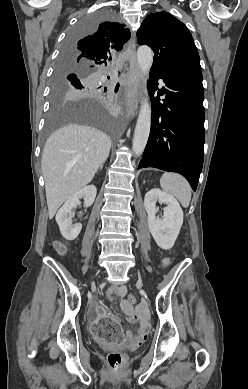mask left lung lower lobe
<instances>
[{
	"label": "left lung lower lobe",
	"mask_w": 248,
	"mask_h": 389,
	"mask_svg": "<svg viewBox=\"0 0 248 389\" xmlns=\"http://www.w3.org/2000/svg\"><path fill=\"white\" fill-rule=\"evenodd\" d=\"M158 79L164 86L158 89ZM152 99L149 139L140 168L155 167L183 175L195 191L203 166L204 90L201 68L162 71L151 68L148 80ZM165 98L160 103L158 98Z\"/></svg>",
	"instance_id": "left-lung-lower-lobe-1"
}]
</instances>
